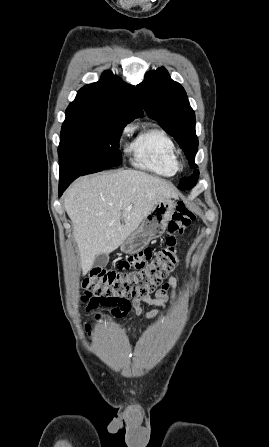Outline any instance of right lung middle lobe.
<instances>
[{"mask_svg":"<svg viewBox=\"0 0 269 447\" xmlns=\"http://www.w3.org/2000/svg\"><path fill=\"white\" fill-rule=\"evenodd\" d=\"M127 123L66 117L58 148L60 162H74L102 170L119 166L122 161L119 138Z\"/></svg>","mask_w":269,"mask_h":447,"instance_id":"dd1d6c3e","label":"right lung middle lobe"}]
</instances>
